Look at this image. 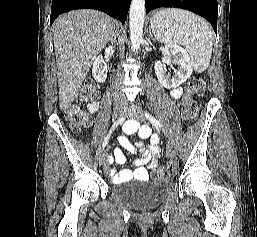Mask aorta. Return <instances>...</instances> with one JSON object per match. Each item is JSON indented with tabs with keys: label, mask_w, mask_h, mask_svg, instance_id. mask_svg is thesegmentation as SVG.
Instances as JSON below:
<instances>
[{
	"label": "aorta",
	"mask_w": 257,
	"mask_h": 237,
	"mask_svg": "<svg viewBox=\"0 0 257 237\" xmlns=\"http://www.w3.org/2000/svg\"><path fill=\"white\" fill-rule=\"evenodd\" d=\"M145 0H132L129 11L130 40L133 52L137 53L143 41Z\"/></svg>",
	"instance_id": "1"
}]
</instances>
